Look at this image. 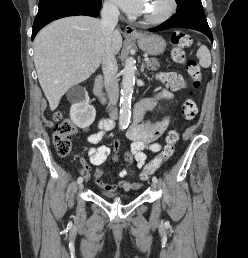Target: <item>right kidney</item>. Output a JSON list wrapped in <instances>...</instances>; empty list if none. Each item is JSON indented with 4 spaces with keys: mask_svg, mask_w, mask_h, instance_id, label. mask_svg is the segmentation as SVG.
<instances>
[{
    "mask_svg": "<svg viewBox=\"0 0 248 258\" xmlns=\"http://www.w3.org/2000/svg\"><path fill=\"white\" fill-rule=\"evenodd\" d=\"M72 102L70 118L79 128L89 127L95 120L96 110L89 104V97L85 88L75 87L68 93Z\"/></svg>",
    "mask_w": 248,
    "mask_h": 258,
    "instance_id": "obj_1",
    "label": "right kidney"
}]
</instances>
